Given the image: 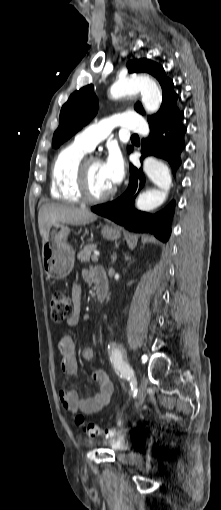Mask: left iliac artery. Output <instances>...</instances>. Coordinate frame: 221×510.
<instances>
[{
	"mask_svg": "<svg viewBox=\"0 0 221 510\" xmlns=\"http://www.w3.org/2000/svg\"><path fill=\"white\" fill-rule=\"evenodd\" d=\"M110 360L114 368L120 373L121 376L130 380L131 385L135 383L134 371L129 365L127 359L124 357L123 351L117 348L112 349Z\"/></svg>",
	"mask_w": 221,
	"mask_h": 510,
	"instance_id": "1",
	"label": "left iliac artery"
}]
</instances>
